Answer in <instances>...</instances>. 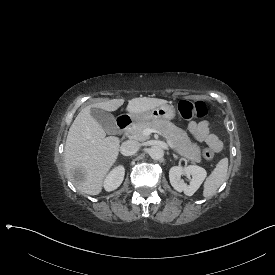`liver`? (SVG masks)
I'll use <instances>...</instances> for the list:
<instances>
[{
	"mask_svg": "<svg viewBox=\"0 0 275 275\" xmlns=\"http://www.w3.org/2000/svg\"><path fill=\"white\" fill-rule=\"evenodd\" d=\"M125 99H111L85 106L69 128L64 149V163L71 179V170L81 167L85 171V181L74 185L80 192L97 196L104 187L105 179L119 156L120 138L106 137L101 124L91 115V109L114 112ZM168 100L138 97L128 101L126 112L141 114L167 104Z\"/></svg>",
	"mask_w": 275,
	"mask_h": 275,
	"instance_id": "liver-1",
	"label": "liver"
}]
</instances>
